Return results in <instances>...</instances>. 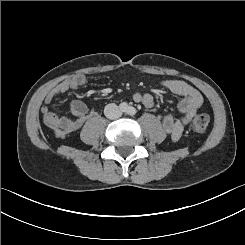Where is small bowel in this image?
Segmentation results:
<instances>
[{
    "label": "small bowel",
    "instance_id": "obj_1",
    "mask_svg": "<svg viewBox=\"0 0 245 245\" xmlns=\"http://www.w3.org/2000/svg\"><path fill=\"white\" fill-rule=\"evenodd\" d=\"M85 83V76L75 75L60 82L45 96L44 105L41 108L43 122L53 131L56 137L64 138L70 133L77 132L88 118L96 115L94 110L89 109L80 100H73L68 104L71 113L75 117L74 119L58 117L50 110L49 105L57 96L63 95L69 90H76L85 85ZM161 85L173 94L183 97L177 107L178 115L167 114L162 120L165 132L171 136L173 141H177L181 137L185 126L190 123L194 114L202 106L203 97L198 90L182 80L168 79L162 81ZM133 99L147 108L154 105V99L148 93L136 92L133 95Z\"/></svg>",
    "mask_w": 245,
    "mask_h": 245
}]
</instances>
